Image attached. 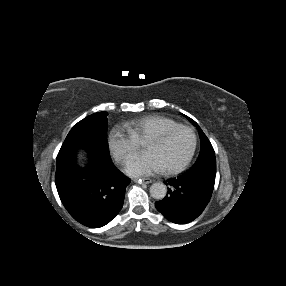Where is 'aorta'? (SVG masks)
<instances>
[{
    "instance_id": "762f6f07",
    "label": "aorta",
    "mask_w": 286,
    "mask_h": 286,
    "mask_svg": "<svg viewBox=\"0 0 286 286\" xmlns=\"http://www.w3.org/2000/svg\"><path fill=\"white\" fill-rule=\"evenodd\" d=\"M167 194V187L162 182L153 183L150 186V195L156 200H162Z\"/></svg>"
}]
</instances>
